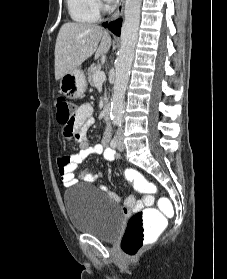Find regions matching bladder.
<instances>
[{
  "label": "bladder",
  "instance_id": "31cf9c89",
  "mask_svg": "<svg viewBox=\"0 0 227 279\" xmlns=\"http://www.w3.org/2000/svg\"><path fill=\"white\" fill-rule=\"evenodd\" d=\"M63 205L71 225L103 241L114 240L123 228L120 205L109 195L100 192L98 196L78 186L65 193Z\"/></svg>",
  "mask_w": 227,
  "mask_h": 279
}]
</instances>
